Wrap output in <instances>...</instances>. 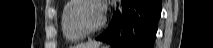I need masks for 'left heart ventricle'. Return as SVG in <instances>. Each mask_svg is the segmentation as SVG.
Instances as JSON below:
<instances>
[{
  "mask_svg": "<svg viewBox=\"0 0 213 48\" xmlns=\"http://www.w3.org/2000/svg\"><path fill=\"white\" fill-rule=\"evenodd\" d=\"M102 10L95 3H85L77 11V16L86 28H95L101 20Z\"/></svg>",
  "mask_w": 213,
  "mask_h": 48,
  "instance_id": "1",
  "label": "left heart ventricle"
}]
</instances>
